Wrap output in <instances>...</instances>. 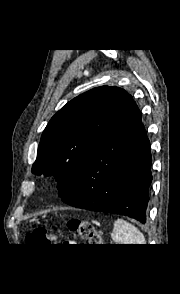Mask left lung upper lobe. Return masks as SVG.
<instances>
[{
	"mask_svg": "<svg viewBox=\"0 0 180 294\" xmlns=\"http://www.w3.org/2000/svg\"><path fill=\"white\" fill-rule=\"evenodd\" d=\"M133 102L131 95L115 86L97 87L72 99L43 131L32 172L53 175L61 198L71 194L96 150Z\"/></svg>",
	"mask_w": 180,
	"mask_h": 294,
	"instance_id": "left-lung-upper-lobe-1",
	"label": "left lung upper lobe"
}]
</instances>
